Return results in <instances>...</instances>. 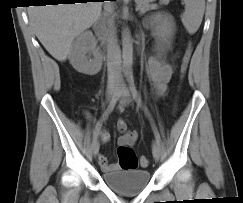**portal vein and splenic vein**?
<instances>
[{
    "label": "portal vein and splenic vein",
    "instance_id": "obj_1",
    "mask_svg": "<svg viewBox=\"0 0 243 203\" xmlns=\"http://www.w3.org/2000/svg\"><path fill=\"white\" fill-rule=\"evenodd\" d=\"M137 10H140L141 11V9L139 7H137ZM141 13H144V12H141Z\"/></svg>",
    "mask_w": 243,
    "mask_h": 203
}]
</instances>
